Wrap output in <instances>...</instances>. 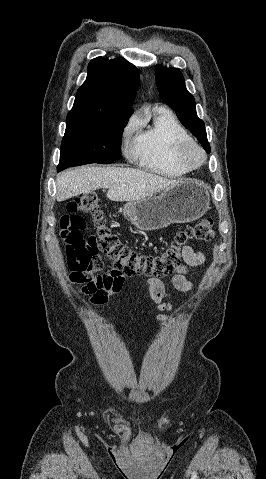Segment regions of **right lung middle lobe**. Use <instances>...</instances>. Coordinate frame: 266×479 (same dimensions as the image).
<instances>
[{
  "mask_svg": "<svg viewBox=\"0 0 266 479\" xmlns=\"http://www.w3.org/2000/svg\"><path fill=\"white\" fill-rule=\"evenodd\" d=\"M128 118L74 116L66 118L58 168L120 159L121 137Z\"/></svg>",
  "mask_w": 266,
  "mask_h": 479,
  "instance_id": "1",
  "label": "right lung middle lobe"
}]
</instances>
